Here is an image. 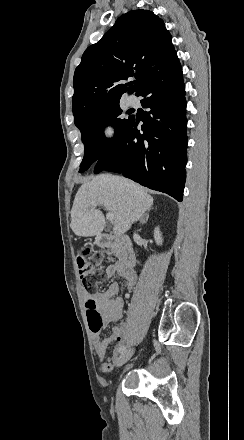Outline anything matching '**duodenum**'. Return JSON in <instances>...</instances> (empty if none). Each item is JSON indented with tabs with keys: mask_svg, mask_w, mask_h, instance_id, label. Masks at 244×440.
<instances>
[{
	"mask_svg": "<svg viewBox=\"0 0 244 440\" xmlns=\"http://www.w3.org/2000/svg\"><path fill=\"white\" fill-rule=\"evenodd\" d=\"M96 242L102 248L116 247L119 252L121 262L128 268L136 265V253L129 238L123 235L114 236L107 233L96 237Z\"/></svg>",
	"mask_w": 244,
	"mask_h": 440,
	"instance_id": "1",
	"label": "duodenum"
}]
</instances>
